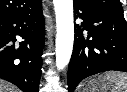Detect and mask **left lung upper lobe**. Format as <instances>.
<instances>
[{"mask_svg":"<svg viewBox=\"0 0 127 92\" xmlns=\"http://www.w3.org/2000/svg\"><path fill=\"white\" fill-rule=\"evenodd\" d=\"M74 2L96 10L123 14L122 6L119 0H74Z\"/></svg>","mask_w":127,"mask_h":92,"instance_id":"obj_1","label":"left lung upper lobe"}]
</instances>
